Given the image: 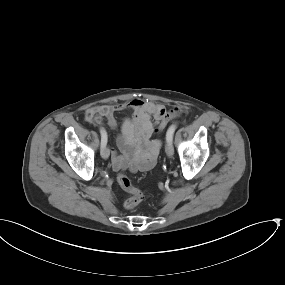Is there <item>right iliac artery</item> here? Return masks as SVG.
Here are the masks:
<instances>
[{"mask_svg": "<svg viewBox=\"0 0 285 285\" xmlns=\"http://www.w3.org/2000/svg\"><path fill=\"white\" fill-rule=\"evenodd\" d=\"M100 133H101V148H103L107 144V133L103 128L100 129Z\"/></svg>", "mask_w": 285, "mask_h": 285, "instance_id": "obj_1", "label": "right iliac artery"}]
</instances>
